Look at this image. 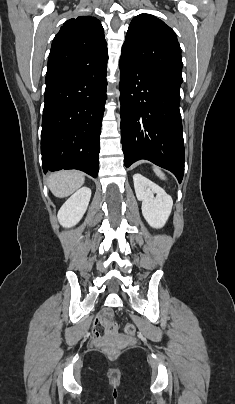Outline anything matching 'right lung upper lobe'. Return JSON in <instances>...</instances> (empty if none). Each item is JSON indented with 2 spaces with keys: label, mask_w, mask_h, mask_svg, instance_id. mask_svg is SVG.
<instances>
[{
  "label": "right lung upper lobe",
  "mask_w": 235,
  "mask_h": 404,
  "mask_svg": "<svg viewBox=\"0 0 235 404\" xmlns=\"http://www.w3.org/2000/svg\"><path fill=\"white\" fill-rule=\"evenodd\" d=\"M107 60V44L100 21L91 16H79L66 21L55 36L47 75L98 66Z\"/></svg>",
  "instance_id": "1"
}]
</instances>
